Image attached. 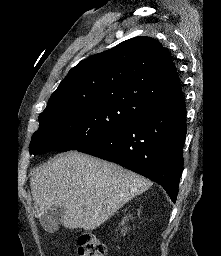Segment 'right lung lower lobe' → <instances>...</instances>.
Here are the masks:
<instances>
[{
    "label": "right lung lower lobe",
    "instance_id": "98d812e1",
    "mask_svg": "<svg viewBox=\"0 0 221 256\" xmlns=\"http://www.w3.org/2000/svg\"><path fill=\"white\" fill-rule=\"evenodd\" d=\"M186 132L182 103L135 118L77 151L115 162L157 182L176 202Z\"/></svg>",
    "mask_w": 221,
    "mask_h": 256
}]
</instances>
